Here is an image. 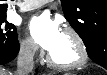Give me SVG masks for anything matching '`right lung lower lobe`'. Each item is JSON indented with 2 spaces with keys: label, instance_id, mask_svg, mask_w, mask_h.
Returning <instances> with one entry per match:
<instances>
[{
  "label": "right lung lower lobe",
  "instance_id": "right-lung-lower-lobe-1",
  "mask_svg": "<svg viewBox=\"0 0 107 75\" xmlns=\"http://www.w3.org/2000/svg\"><path fill=\"white\" fill-rule=\"evenodd\" d=\"M19 51V42L16 41L10 44H0V64H6L14 59Z\"/></svg>",
  "mask_w": 107,
  "mask_h": 75
}]
</instances>
